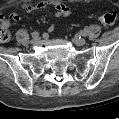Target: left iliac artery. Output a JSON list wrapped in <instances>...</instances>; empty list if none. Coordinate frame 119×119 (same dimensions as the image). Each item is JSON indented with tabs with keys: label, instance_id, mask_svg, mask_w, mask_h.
<instances>
[{
	"label": "left iliac artery",
	"instance_id": "1",
	"mask_svg": "<svg viewBox=\"0 0 119 119\" xmlns=\"http://www.w3.org/2000/svg\"><path fill=\"white\" fill-rule=\"evenodd\" d=\"M88 34H89V31L88 30H81L80 32H79V35H81V36H84V37H86V36H88Z\"/></svg>",
	"mask_w": 119,
	"mask_h": 119
}]
</instances>
